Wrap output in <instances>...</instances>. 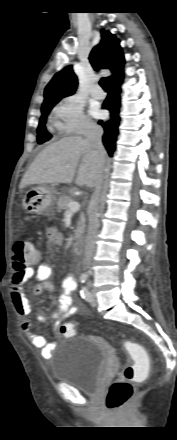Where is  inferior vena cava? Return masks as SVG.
I'll return each instance as SVG.
<instances>
[{
	"label": "inferior vena cava",
	"instance_id": "inferior-vena-cava-1",
	"mask_svg": "<svg viewBox=\"0 0 177 440\" xmlns=\"http://www.w3.org/2000/svg\"><path fill=\"white\" fill-rule=\"evenodd\" d=\"M103 129L93 123H89L86 126L84 135L88 141L92 144L94 149L99 154H104L105 150L102 145L101 137ZM103 175L95 186V191L92 196L91 205L89 209V225L85 243V265L86 268H90V262L93 257L95 249V239L99 228V209H100V195L102 191Z\"/></svg>",
	"mask_w": 177,
	"mask_h": 440
}]
</instances>
